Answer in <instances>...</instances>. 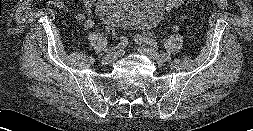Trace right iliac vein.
Here are the masks:
<instances>
[{"label": "right iliac vein", "mask_w": 253, "mask_h": 131, "mask_svg": "<svg viewBox=\"0 0 253 131\" xmlns=\"http://www.w3.org/2000/svg\"><path fill=\"white\" fill-rule=\"evenodd\" d=\"M119 53L118 52H111L103 57V62L106 64H112L117 57Z\"/></svg>", "instance_id": "1"}]
</instances>
